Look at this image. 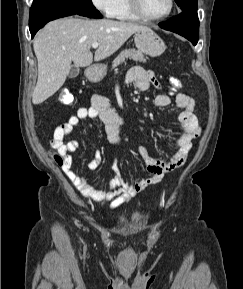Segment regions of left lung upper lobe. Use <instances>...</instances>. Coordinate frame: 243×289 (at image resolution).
Returning <instances> with one entry per match:
<instances>
[{
  "instance_id": "5c2ea615",
  "label": "left lung upper lobe",
  "mask_w": 243,
  "mask_h": 289,
  "mask_svg": "<svg viewBox=\"0 0 243 289\" xmlns=\"http://www.w3.org/2000/svg\"><path fill=\"white\" fill-rule=\"evenodd\" d=\"M182 11L197 10V0H175Z\"/></svg>"
}]
</instances>
